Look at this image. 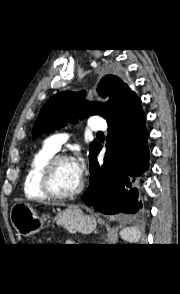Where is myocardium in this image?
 <instances>
[{
  "label": "myocardium",
  "instance_id": "myocardium-1",
  "mask_svg": "<svg viewBox=\"0 0 180 294\" xmlns=\"http://www.w3.org/2000/svg\"><path fill=\"white\" fill-rule=\"evenodd\" d=\"M65 161H72L71 157L67 155L53 156L42 168L40 172V187L43 193L55 200H66L78 196L84 188V180L81 179L79 186L69 193H59L52 186V178L57 166Z\"/></svg>",
  "mask_w": 180,
  "mask_h": 294
}]
</instances>
